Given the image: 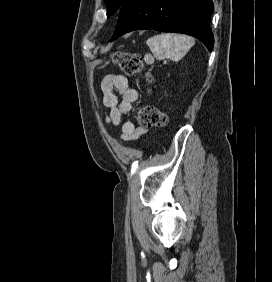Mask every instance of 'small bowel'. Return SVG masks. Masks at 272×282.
<instances>
[{"mask_svg":"<svg viewBox=\"0 0 272 282\" xmlns=\"http://www.w3.org/2000/svg\"><path fill=\"white\" fill-rule=\"evenodd\" d=\"M101 89L103 104L108 109L105 120L120 128L123 140L133 141L146 133L147 127H135L132 122L124 121L138 98V91L129 85L127 76L110 73L103 78Z\"/></svg>","mask_w":272,"mask_h":282,"instance_id":"1","label":"small bowel"}]
</instances>
